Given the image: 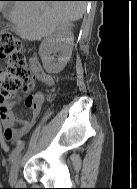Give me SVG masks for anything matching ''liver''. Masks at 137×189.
Returning <instances> with one entry per match:
<instances>
[{
  "label": "liver",
  "instance_id": "6515ba94",
  "mask_svg": "<svg viewBox=\"0 0 137 189\" xmlns=\"http://www.w3.org/2000/svg\"><path fill=\"white\" fill-rule=\"evenodd\" d=\"M11 3V2H10ZM9 19L15 25V32L26 40H40L70 21L82 18L86 3L84 1H16L12 2ZM0 2V11L5 6Z\"/></svg>",
  "mask_w": 137,
  "mask_h": 189
}]
</instances>
